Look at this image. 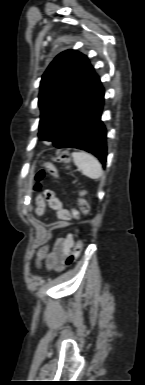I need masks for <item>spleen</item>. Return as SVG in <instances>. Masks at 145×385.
Instances as JSON below:
<instances>
[{"label": "spleen", "instance_id": "3e777b00", "mask_svg": "<svg viewBox=\"0 0 145 385\" xmlns=\"http://www.w3.org/2000/svg\"><path fill=\"white\" fill-rule=\"evenodd\" d=\"M72 157L75 165L82 171L85 176L91 179H98L102 176V166L93 155L81 151L73 152Z\"/></svg>", "mask_w": 145, "mask_h": 385}]
</instances>
